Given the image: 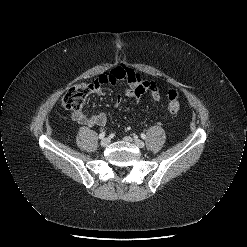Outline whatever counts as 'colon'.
<instances>
[{"mask_svg": "<svg viewBox=\"0 0 247 247\" xmlns=\"http://www.w3.org/2000/svg\"><path fill=\"white\" fill-rule=\"evenodd\" d=\"M95 89V84H81L70 88L62 97V104L74 113H80L84 107L86 97ZM168 109L171 113L180 110V95L177 90L171 89L167 93ZM119 104V98L117 100Z\"/></svg>", "mask_w": 247, "mask_h": 247, "instance_id": "colon-1", "label": "colon"}]
</instances>
